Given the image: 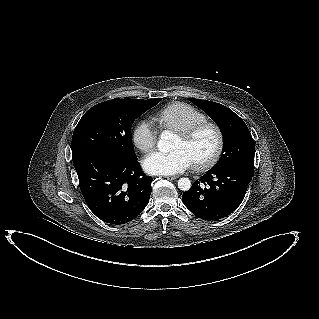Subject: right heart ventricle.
<instances>
[{"label": "right heart ventricle", "mask_w": 319, "mask_h": 319, "mask_svg": "<svg viewBox=\"0 0 319 319\" xmlns=\"http://www.w3.org/2000/svg\"><path fill=\"white\" fill-rule=\"evenodd\" d=\"M154 120L162 129L177 132L206 121L207 116L187 103L176 102L158 110Z\"/></svg>", "instance_id": "e07e8e85"}]
</instances>
